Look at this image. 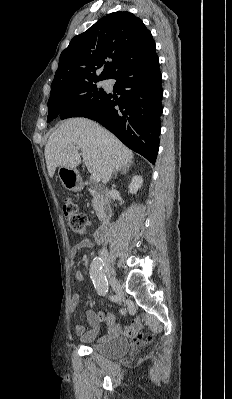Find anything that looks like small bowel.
Listing matches in <instances>:
<instances>
[{"label":"small bowel","instance_id":"1","mask_svg":"<svg viewBox=\"0 0 232 399\" xmlns=\"http://www.w3.org/2000/svg\"><path fill=\"white\" fill-rule=\"evenodd\" d=\"M95 245L91 242H79L72 248V255L77 257L78 264L85 263V255L80 251L83 248H94ZM78 280L84 281L83 273L78 274ZM79 299L76 296H71L69 302L70 311H75L79 306ZM85 317L88 325L91 327L89 331H85L82 324L75 326L76 333L81 337L82 342L96 341L101 345H113L118 341L121 333H134L142 329L143 324L136 321L131 325H122L115 321V315L105 311H94L88 309L85 312ZM102 322L104 324H102Z\"/></svg>","mask_w":232,"mask_h":399}]
</instances>
